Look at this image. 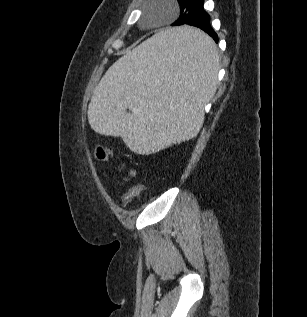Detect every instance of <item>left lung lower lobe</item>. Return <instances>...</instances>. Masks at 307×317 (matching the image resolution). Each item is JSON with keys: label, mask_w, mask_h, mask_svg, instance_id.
I'll list each match as a JSON object with an SVG mask.
<instances>
[{"label": "left lung lower lobe", "mask_w": 307, "mask_h": 317, "mask_svg": "<svg viewBox=\"0 0 307 317\" xmlns=\"http://www.w3.org/2000/svg\"><path fill=\"white\" fill-rule=\"evenodd\" d=\"M183 24L200 28L212 37L216 43H218V35L213 30L210 24V16L204 9V0L198 6L195 14L187 19H184L183 23L180 25ZM166 43L173 51H192L193 53L203 57H210L213 51L211 44L190 36H172Z\"/></svg>", "instance_id": "1"}]
</instances>
